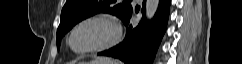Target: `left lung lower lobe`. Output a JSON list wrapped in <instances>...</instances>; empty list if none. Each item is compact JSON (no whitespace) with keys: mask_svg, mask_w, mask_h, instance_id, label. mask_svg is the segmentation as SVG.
Wrapping results in <instances>:
<instances>
[{"mask_svg":"<svg viewBox=\"0 0 242 64\" xmlns=\"http://www.w3.org/2000/svg\"><path fill=\"white\" fill-rule=\"evenodd\" d=\"M145 1L142 13L145 14ZM171 0H160L157 12L150 22L142 19L140 24L126 30L122 43L100 52L99 55L113 57L125 64H153L157 49L166 31ZM132 11L123 19L125 26L129 25Z\"/></svg>","mask_w":242,"mask_h":64,"instance_id":"left-lung-lower-lobe-1","label":"left lung lower lobe"}]
</instances>
